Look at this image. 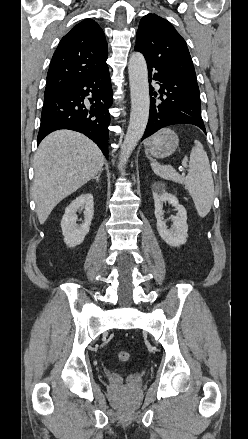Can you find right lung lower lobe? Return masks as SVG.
I'll return each instance as SVG.
<instances>
[{
    "label": "right lung lower lobe",
    "instance_id": "98d812e1",
    "mask_svg": "<svg viewBox=\"0 0 248 439\" xmlns=\"http://www.w3.org/2000/svg\"><path fill=\"white\" fill-rule=\"evenodd\" d=\"M89 95L90 103L85 101ZM111 105L112 88L107 66L45 96L37 143L55 130L79 131L92 139L108 159V110Z\"/></svg>",
    "mask_w": 248,
    "mask_h": 439
}]
</instances>
